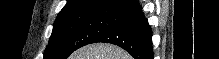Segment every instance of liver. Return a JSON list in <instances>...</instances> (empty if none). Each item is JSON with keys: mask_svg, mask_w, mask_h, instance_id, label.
<instances>
[{"mask_svg": "<svg viewBox=\"0 0 219 59\" xmlns=\"http://www.w3.org/2000/svg\"><path fill=\"white\" fill-rule=\"evenodd\" d=\"M69 59H132V57L118 46L97 43L76 50Z\"/></svg>", "mask_w": 219, "mask_h": 59, "instance_id": "1", "label": "liver"}]
</instances>
